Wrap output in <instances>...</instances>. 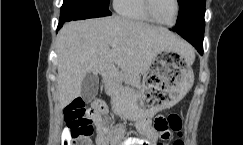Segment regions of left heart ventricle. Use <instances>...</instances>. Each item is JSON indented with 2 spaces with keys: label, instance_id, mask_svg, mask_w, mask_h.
I'll use <instances>...</instances> for the list:
<instances>
[{
  "label": "left heart ventricle",
  "instance_id": "obj_1",
  "mask_svg": "<svg viewBox=\"0 0 243 145\" xmlns=\"http://www.w3.org/2000/svg\"><path fill=\"white\" fill-rule=\"evenodd\" d=\"M152 9L154 16L162 23H171L175 15L174 0H153Z\"/></svg>",
  "mask_w": 243,
  "mask_h": 145
}]
</instances>
